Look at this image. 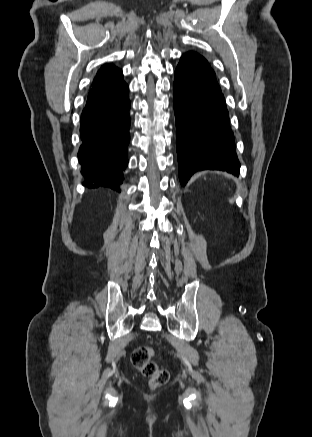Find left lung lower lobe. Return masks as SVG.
Returning a JSON list of instances; mask_svg holds the SVG:
<instances>
[{
    "label": "left lung lower lobe",
    "mask_w": 312,
    "mask_h": 437,
    "mask_svg": "<svg viewBox=\"0 0 312 437\" xmlns=\"http://www.w3.org/2000/svg\"><path fill=\"white\" fill-rule=\"evenodd\" d=\"M173 91L181 185L200 170L238 175L240 163L225 99L205 58L192 52L182 56Z\"/></svg>",
    "instance_id": "1"
}]
</instances>
